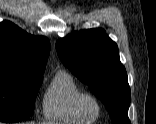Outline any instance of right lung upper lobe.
I'll return each instance as SVG.
<instances>
[{
    "mask_svg": "<svg viewBox=\"0 0 156 124\" xmlns=\"http://www.w3.org/2000/svg\"><path fill=\"white\" fill-rule=\"evenodd\" d=\"M49 52L46 37L30 35L8 21L0 23V69L42 75Z\"/></svg>",
    "mask_w": 156,
    "mask_h": 124,
    "instance_id": "cb5924a9",
    "label": "right lung upper lobe"
}]
</instances>
